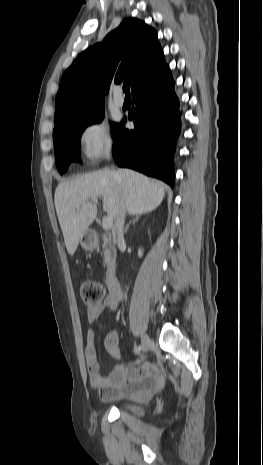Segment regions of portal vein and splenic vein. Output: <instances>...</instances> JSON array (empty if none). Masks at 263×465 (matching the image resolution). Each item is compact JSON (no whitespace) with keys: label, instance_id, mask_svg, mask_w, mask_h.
<instances>
[{"label":"portal vein and splenic vein","instance_id":"18ae733b","mask_svg":"<svg viewBox=\"0 0 263 465\" xmlns=\"http://www.w3.org/2000/svg\"><path fill=\"white\" fill-rule=\"evenodd\" d=\"M91 201L93 203H97L98 202V198H91ZM113 226V216L112 215H107L104 219H103V222H102V227L104 230H109L111 229Z\"/></svg>","mask_w":263,"mask_h":465}]
</instances>
